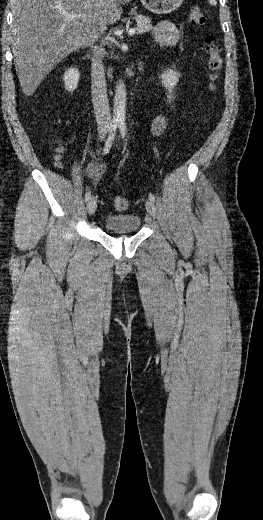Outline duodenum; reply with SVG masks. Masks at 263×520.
I'll return each mask as SVG.
<instances>
[{
  "label": "duodenum",
  "instance_id": "410a0bca",
  "mask_svg": "<svg viewBox=\"0 0 263 520\" xmlns=\"http://www.w3.org/2000/svg\"><path fill=\"white\" fill-rule=\"evenodd\" d=\"M85 59H86V60H89V59H90V55H89V54H87V55H86V57H85ZM139 70H140V71L142 70V67H141V65H139Z\"/></svg>",
  "mask_w": 263,
  "mask_h": 520
}]
</instances>
